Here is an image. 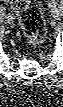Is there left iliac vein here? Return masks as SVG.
Masks as SVG:
<instances>
[{"instance_id":"1","label":"left iliac vein","mask_w":63,"mask_h":107,"mask_svg":"<svg viewBox=\"0 0 63 107\" xmlns=\"http://www.w3.org/2000/svg\"><path fill=\"white\" fill-rule=\"evenodd\" d=\"M52 16L55 19H60L62 16V11L59 8H55L52 10Z\"/></svg>"}]
</instances>
